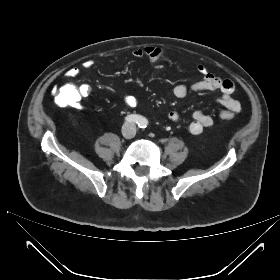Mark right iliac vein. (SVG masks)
<instances>
[{"label":"right iliac vein","instance_id":"63e3f726","mask_svg":"<svg viewBox=\"0 0 280 280\" xmlns=\"http://www.w3.org/2000/svg\"><path fill=\"white\" fill-rule=\"evenodd\" d=\"M131 133H132V131H131V127L130 126L126 125V126L123 127V129H122V136L124 138H129L131 136Z\"/></svg>","mask_w":280,"mask_h":280}]
</instances>
